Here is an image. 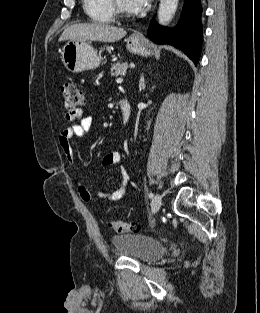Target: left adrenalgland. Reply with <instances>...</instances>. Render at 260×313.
<instances>
[{
    "label": "left adrenal gland",
    "instance_id": "a2214340",
    "mask_svg": "<svg viewBox=\"0 0 260 313\" xmlns=\"http://www.w3.org/2000/svg\"><path fill=\"white\" fill-rule=\"evenodd\" d=\"M139 84H140V89L144 90L145 89V80H144V75L143 74L140 77Z\"/></svg>",
    "mask_w": 260,
    "mask_h": 313
}]
</instances>
